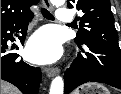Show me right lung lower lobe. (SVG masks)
<instances>
[{
	"label": "right lung lower lobe",
	"instance_id": "98d812e1",
	"mask_svg": "<svg viewBox=\"0 0 121 94\" xmlns=\"http://www.w3.org/2000/svg\"><path fill=\"white\" fill-rule=\"evenodd\" d=\"M32 18L33 13L31 12L22 18L1 23V79L17 86L23 94H37L41 70L26 64L22 60L17 61L19 55L16 53H7V41L13 40L12 34L18 33L21 29L20 33L23 34V37L20 41L23 44L28 22Z\"/></svg>",
	"mask_w": 121,
	"mask_h": 94
}]
</instances>
